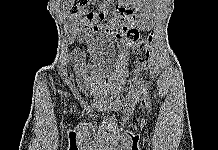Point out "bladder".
<instances>
[{"label": "bladder", "mask_w": 218, "mask_h": 150, "mask_svg": "<svg viewBox=\"0 0 218 150\" xmlns=\"http://www.w3.org/2000/svg\"><path fill=\"white\" fill-rule=\"evenodd\" d=\"M84 53L95 52L103 61H110L115 55V46L112 41L107 38H100L98 40L89 41L83 47ZM78 76L83 85V88L88 94L98 96L100 90L94 85L92 70L90 67L82 65L78 69Z\"/></svg>", "instance_id": "bladder-1"}]
</instances>
